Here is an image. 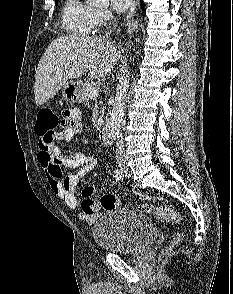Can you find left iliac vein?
Returning a JSON list of instances; mask_svg holds the SVG:
<instances>
[{
  "mask_svg": "<svg viewBox=\"0 0 233 294\" xmlns=\"http://www.w3.org/2000/svg\"><path fill=\"white\" fill-rule=\"evenodd\" d=\"M124 176H125V178H129V176H130L127 169L124 170Z\"/></svg>",
  "mask_w": 233,
  "mask_h": 294,
  "instance_id": "left-iliac-vein-1",
  "label": "left iliac vein"
}]
</instances>
